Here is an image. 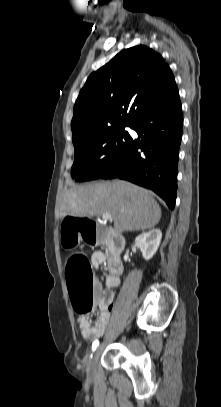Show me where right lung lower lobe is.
<instances>
[{"label": "right lung lower lobe", "mask_w": 221, "mask_h": 407, "mask_svg": "<svg viewBox=\"0 0 221 407\" xmlns=\"http://www.w3.org/2000/svg\"><path fill=\"white\" fill-rule=\"evenodd\" d=\"M182 126V107L176 87L133 124L141 140L132 139L123 156L101 178L118 177L151 189L174 209Z\"/></svg>", "instance_id": "98d812e1"}]
</instances>
